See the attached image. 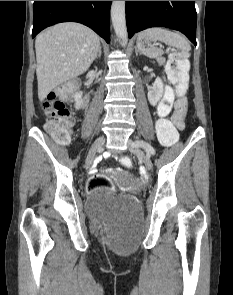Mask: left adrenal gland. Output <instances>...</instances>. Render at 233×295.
Returning a JSON list of instances; mask_svg holds the SVG:
<instances>
[{
    "label": "left adrenal gland",
    "mask_w": 233,
    "mask_h": 295,
    "mask_svg": "<svg viewBox=\"0 0 233 295\" xmlns=\"http://www.w3.org/2000/svg\"><path fill=\"white\" fill-rule=\"evenodd\" d=\"M135 53H136V56H138V54H141L137 48V46L135 47Z\"/></svg>",
    "instance_id": "obj_1"
}]
</instances>
